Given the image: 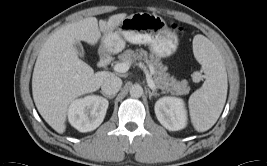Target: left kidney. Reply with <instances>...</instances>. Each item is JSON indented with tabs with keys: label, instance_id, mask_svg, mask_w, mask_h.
I'll list each match as a JSON object with an SVG mask.
<instances>
[{
	"label": "left kidney",
	"instance_id": "1",
	"mask_svg": "<svg viewBox=\"0 0 267 166\" xmlns=\"http://www.w3.org/2000/svg\"><path fill=\"white\" fill-rule=\"evenodd\" d=\"M155 114L161 125L170 131L181 130L187 124V112L180 98H160L155 103Z\"/></svg>",
	"mask_w": 267,
	"mask_h": 166
}]
</instances>
